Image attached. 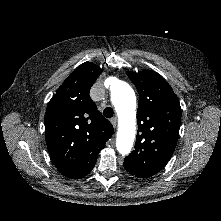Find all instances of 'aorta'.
Here are the masks:
<instances>
[{
    "instance_id": "aorta-1",
    "label": "aorta",
    "mask_w": 221,
    "mask_h": 221,
    "mask_svg": "<svg viewBox=\"0 0 221 221\" xmlns=\"http://www.w3.org/2000/svg\"><path fill=\"white\" fill-rule=\"evenodd\" d=\"M112 102L122 117L133 114L136 107V97L133 89L126 83H119L111 94ZM135 137V127L132 123L129 129H122L117 138V149L122 155L131 151Z\"/></svg>"
}]
</instances>
